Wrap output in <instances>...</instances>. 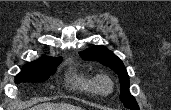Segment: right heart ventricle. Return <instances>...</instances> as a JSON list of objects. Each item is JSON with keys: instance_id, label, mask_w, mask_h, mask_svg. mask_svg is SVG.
Wrapping results in <instances>:
<instances>
[{"instance_id": "obj_1", "label": "right heart ventricle", "mask_w": 171, "mask_h": 110, "mask_svg": "<svg viewBox=\"0 0 171 110\" xmlns=\"http://www.w3.org/2000/svg\"><path fill=\"white\" fill-rule=\"evenodd\" d=\"M68 83L73 89L87 94L96 92L94 80L82 73L71 72L68 77Z\"/></svg>"}]
</instances>
